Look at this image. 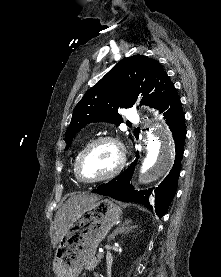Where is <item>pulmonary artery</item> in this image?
<instances>
[{
	"instance_id": "1",
	"label": "pulmonary artery",
	"mask_w": 221,
	"mask_h": 277,
	"mask_svg": "<svg viewBox=\"0 0 221 277\" xmlns=\"http://www.w3.org/2000/svg\"><path fill=\"white\" fill-rule=\"evenodd\" d=\"M125 115H126V118L130 121H135L137 118L135 111L132 109H127Z\"/></svg>"
}]
</instances>
